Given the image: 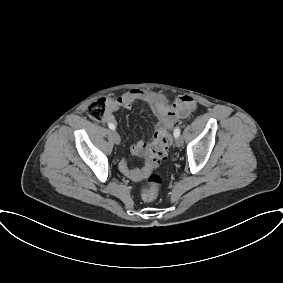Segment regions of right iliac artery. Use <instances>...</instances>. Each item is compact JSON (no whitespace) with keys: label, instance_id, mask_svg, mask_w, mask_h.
I'll list each match as a JSON object with an SVG mask.
<instances>
[{"label":"right iliac artery","instance_id":"right-iliac-artery-1","mask_svg":"<svg viewBox=\"0 0 283 283\" xmlns=\"http://www.w3.org/2000/svg\"><path fill=\"white\" fill-rule=\"evenodd\" d=\"M108 127H109L111 130H115V126H114V124H112V123H109V124H108Z\"/></svg>","mask_w":283,"mask_h":283}]
</instances>
